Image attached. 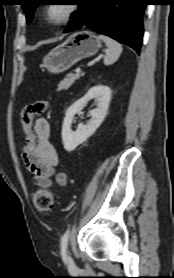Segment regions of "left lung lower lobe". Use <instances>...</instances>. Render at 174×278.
<instances>
[{"mask_svg": "<svg viewBox=\"0 0 174 278\" xmlns=\"http://www.w3.org/2000/svg\"><path fill=\"white\" fill-rule=\"evenodd\" d=\"M147 0H84L66 32L82 26L140 51Z\"/></svg>", "mask_w": 174, "mask_h": 278, "instance_id": "0a47b994", "label": "left lung lower lobe"}]
</instances>
